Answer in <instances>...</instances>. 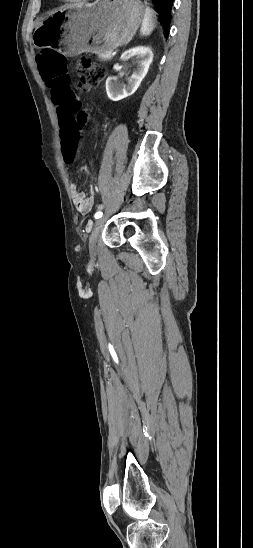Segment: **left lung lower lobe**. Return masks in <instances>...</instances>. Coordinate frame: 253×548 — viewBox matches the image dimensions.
<instances>
[{
    "mask_svg": "<svg viewBox=\"0 0 253 548\" xmlns=\"http://www.w3.org/2000/svg\"><path fill=\"white\" fill-rule=\"evenodd\" d=\"M157 4L158 13L160 14V23L163 26L164 32L167 35L171 23V10L174 0H152Z\"/></svg>",
    "mask_w": 253,
    "mask_h": 548,
    "instance_id": "1",
    "label": "left lung lower lobe"
}]
</instances>
